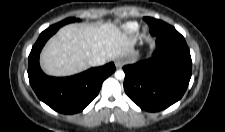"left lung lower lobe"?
Segmentation results:
<instances>
[{
  "mask_svg": "<svg viewBox=\"0 0 225 132\" xmlns=\"http://www.w3.org/2000/svg\"><path fill=\"white\" fill-rule=\"evenodd\" d=\"M145 19L150 27L165 24ZM150 33L156 37V51L148 60L123 67L124 90L141 109L156 112L181 99L191 78L192 60L184 37L175 29Z\"/></svg>",
  "mask_w": 225,
  "mask_h": 132,
  "instance_id": "0a47b994",
  "label": "left lung lower lobe"
}]
</instances>
